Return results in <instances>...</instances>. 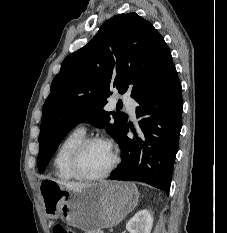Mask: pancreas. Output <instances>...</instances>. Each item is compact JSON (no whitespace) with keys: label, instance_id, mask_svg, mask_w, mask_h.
<instances>
[{"label":"pancreas","instance_id":"1","mask_svg":"<svg viewBox=\"0 0 227 233\" xmlns=\"http://www.w3.org/2000/svg\"><path fill=\"white\" fill-rule=\"evenodd\" d=\"M87 233H102V232H99V231H98V232H87Z\"/></svg>","mask_w":227,"mask_h":233}]
</instances>
